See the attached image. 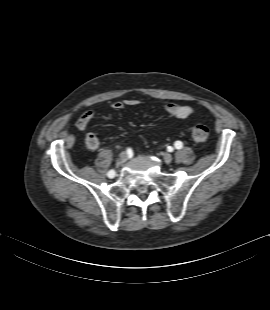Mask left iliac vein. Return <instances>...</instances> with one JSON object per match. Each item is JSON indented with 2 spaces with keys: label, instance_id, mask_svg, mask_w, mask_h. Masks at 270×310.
Wrapping results in <instances>:
<instances>
[{
  "label": "left iliac vein",
  "instance_id": "4c4485c4",
  "mask_svg": "<svg viewBox=\"0 0 270 310\" xmlns=\"http://www.w3.org/2000/svg\"><path fill=\"white\" fill-rule=\"evenodd\" d=\"M163 159H164L165 163L169 164L172 161V155L170 153H164Z\"/></svg>",
  "mask_w": 270,
  "mask_h": 310
}]
</instances>
